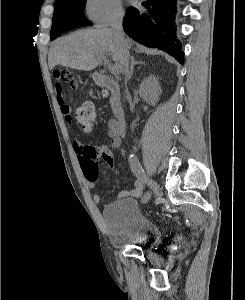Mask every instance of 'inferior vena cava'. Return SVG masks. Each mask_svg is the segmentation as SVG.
Listing matches in <instances>:
<instances>
[{
    "label": "inferior vena cava",
    "instance_id": "obj_1",
    "mask_svg": "<svg viewBox=\"0 0 245 300\" xmlns=\"http://www.w3.org/2000/svg\"><path fill=\"white\" fill-rule=\"evenodd\" d=\"M122 22H123V14H118L112 22V29L115 32L118 39L122 43V46L124 49V61H123L124 72H125V74H128V72H129V43L124 38Z\"/></svg>",
    "mask_w": 245,
    "mask_h": 300
}]
</instances>
